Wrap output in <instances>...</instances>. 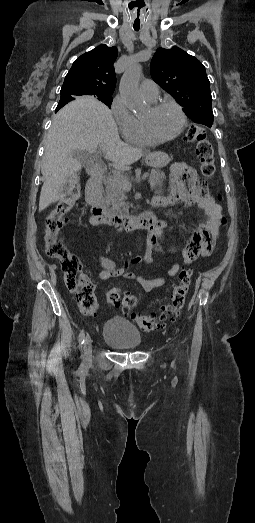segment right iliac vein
Returning <instances> with one entry per match:
<instances>
[{
	"mask_svg": "<svg viewBox=\"0 0 255 523\" xmlns=\"http://www.w3.org/2000/svg\"><path fill=\"white\" fill-rule=\"evenodd\" d=\"M92 356V340L89 335H87L84 342V358L86 361H89Z\"/></svg>",
	"mask_w": 255,
	"mask_h": 523,
	"instance_id": "63e3f726",
	"label": "right iliac vein"
}]
</instances>
